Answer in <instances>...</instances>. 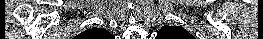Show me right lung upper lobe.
Wrapping results in <instances>:
<instances>
[{
  "instance_id": "cb5924a9",
  "label": "right lung upper lobe",
  "mask_w": 263,
  "mask_h": 39,
  "mask_svg": "<svg viewBox=\"0 0 263 39\" xmlns=\"http://www.w3.org/2000/svg\"><path fill=\"white\" fill-rule=\"evenodd\" d=\"M111 34L105 29L92 28L82 32L79 38L82 39H109Z\"/></svg>"
}]
</instances>
